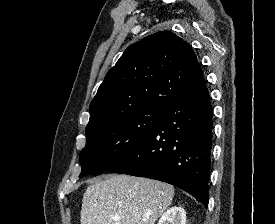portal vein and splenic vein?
<instances>
[{
  "label": "portal vein and splenic vein",
  "instance_id": "18ae733b",
  "mask_svg": "<svg viewBox=\"0 0 275 224\" xmlns=\"http://www.w3.org/2000/svg\"><path fill=\"white\" fill-rule=\"evenodd\" d=\"M113 219H114V220H116V221H118V220H119V218H118V217H114Z\"/></svg>",
  "mask_w": 275,
  "mask_h": 224
}]
</instances>
